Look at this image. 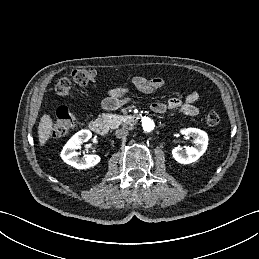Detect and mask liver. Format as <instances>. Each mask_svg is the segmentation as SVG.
<instances>
[{
    "instance_id": "liver-1",
    "label": "liver",
    "mask_w": 259,
    "mask_h": 259,
    "mask_svg": "<svg viewBox=\"0 0 259 259\" xmlns=\"http://www.w3.org/2000/svg\"><path fill=\"white\" fill-rule=\"evenodd\" d=\"M53 130V121L51 117L44 114L38 126V138L40 146H44L46 142L50 139Z\"/></svg>"
}]
</instances>
